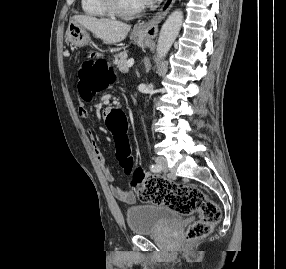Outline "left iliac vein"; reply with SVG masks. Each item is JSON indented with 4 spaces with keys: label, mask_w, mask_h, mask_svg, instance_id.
Returning <instances> with one entry per match:
<instances>
[{
    "label": "left iliac vein",
    "mask_w": 286,
    "mask_h": 269,
    "mask_svg": "<svg viewBox=\"0 0 286 269\" xmlns=\"http://www.w3.org/2000/svg\"><path fill=\"white\" fill-rule=\"evenodd\" d=\"M156 163L161 166L164 172H168L167 160L165 157H157Z\"/></svg>",
    "instance_id": "4c4485c4"
}]
</instances>
